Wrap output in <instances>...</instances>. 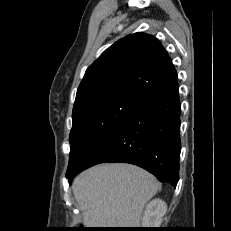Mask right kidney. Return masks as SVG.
Masks as SVG:
<instances>
[{
  "instance_id": "right-kidney-1",
  "label": "right kidney",
  "mask_w": 231,
  "mask_h": 231,
  "mask_svg": "<svg viewBox=\"0 0 231 231\" xmlns=\"http://www.w3.org/2000/svg\"><path fill=\"white\" fill-rule=\"evenodd\" d=\"M167 210V205L160 199L152 200L146 207L142 224L148 228H158Z\"/></svg>"
}]
</instances>
